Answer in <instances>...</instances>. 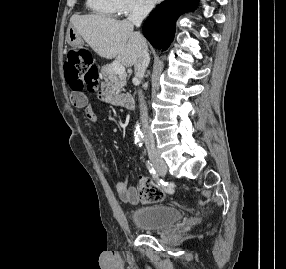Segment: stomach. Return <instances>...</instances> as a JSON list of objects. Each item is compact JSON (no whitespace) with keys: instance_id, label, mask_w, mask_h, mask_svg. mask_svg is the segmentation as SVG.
<instances>
[{"instance_id":"stomach-1","label":"stomach","mask_w":286,"mask_h":269,"mask_svg":"<svg viewBox=\"0 0 286 269\" xmlns=\"http://www.w3.org/2000/svg\"><path fill=\"white\" fill-rule=\"evenodd\" d=\"M66 41L71 46H80L83 44L82 37L73 27L67 30Z\"/></svg>"}]
</instances>
